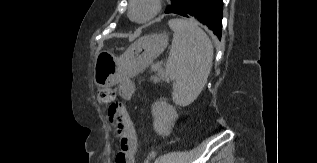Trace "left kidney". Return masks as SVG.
Wrapping results in <instances>:
<instances>
[{
  "instance_id": "5707ae66",
  "label": "left kidney",
  "mask_w": 317,
  "mask_h": 163,
  "mask_svg": "<svg viewBox=\"0 0 317 163\" xmlns=\"http://www.w3.org/2000/svg\"><path fill=\"white\" fill-rule=\"evenodd\" d=\"M151 113L154 118L153 127L155 132L160 136H168L178 118L175 107L163 98L152 105Z\"/></svg>"
}]
</instances>
